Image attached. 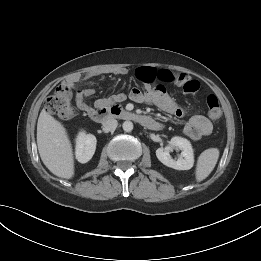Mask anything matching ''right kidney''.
<instances>
[{
  "label": "right kidney",
  "instance_id": "ca27d5eb",
  "mask_svg": "<svg viewBox=\"0 0 261 261\" xmlns=\"http://www.w3.org/2000/svg\"><path fill=\"white\" fill-rule=\"evenodd\" d=\"M96 137L92 134L80 132L76 138L75 155L80 163L88 162L94 155L96 149Z\"/></svg>",
  "mask_w": 261,
  "mask_h": 261
}]
</instances>
